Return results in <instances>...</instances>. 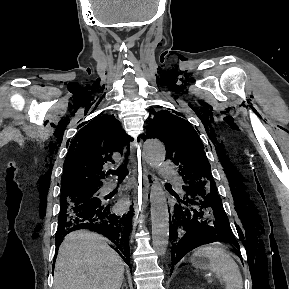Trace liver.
Masks as SVG:
<instances>
[{"label": "liver", "mask_w": 289, "mask_h": 289, "mask_svg": "<svg viewBox=\"0 0 289 289\" xmlns=\"http://www.w3.org/2000/svg\"><path fill=\"white\" fill-rule=\"evenodd\" d=\"M123 279V260L103 236L78 230L64 238L53 289H120Z\"/></svg>", "instance_id": "obj_1"}]
</instances>
